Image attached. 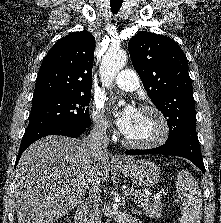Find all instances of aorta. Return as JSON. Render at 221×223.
Segmentation results:
<instances>
[{
	"label": "aorta",
	"instance_id": "aorta-1",
	"mask_svg": "<svg viewBox=\"0 0 221 223\" xmlns=\"http://www.w3.org/2000/svg\"><path fill=\"white\" fill-rule=\"evenodd\" d=\"M126 61L127 55L123 50H109L104 55L99 70L104 86L110 87L117 73L125 66ZM119 104L123 105L124 101H120Z\"/></svg>",
	"mask_w": 221,
	"mask_h": 223
}]
</instances>
